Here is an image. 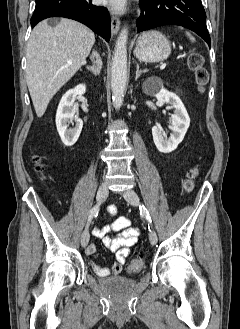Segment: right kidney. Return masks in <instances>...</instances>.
<instances>
[{"label":"right kidney","mask_w":240,"mask_h":329,"mask_svg":"<svg viewBox=\"0 0 240 329\" xmlns=\"http://www.w3.org/2000/svg\"><path fill=\"white\" fill-rule=\"evenodd\" d=\"M86 92L84 84L77 85L74 89L67 91L60 100L56 113V127L60 138L65 146H73L78 140L83 121L74 116L73 108L77 95H83ZM73 123L75 127L68 129V124Z\"/></svg>","instance_id":"ca27d5eb"}]
</instances>
